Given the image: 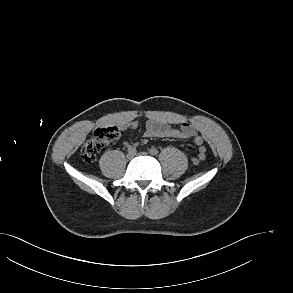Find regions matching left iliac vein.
Returning a JSON list of instances; mask_svg holds the SVG:
<instances>
[{
  "instance_id": "1",
  "label": "left iliac vein",
  "mask_w": 293,
  "mask_h": 293,
  "mask_svg": "<svg viewBox=\"0 0 293 293\" xmlns=\"http://www.w3.org/2000/svg\"><path fill=\"white\" fill-rule=\"evenodd\" d=\"M138 155H140V156H146L147 153L146 152H140V153H138Z\"/></svg>"
}]
</instances>
